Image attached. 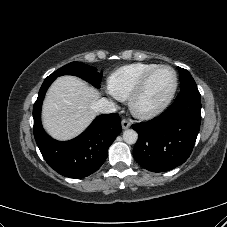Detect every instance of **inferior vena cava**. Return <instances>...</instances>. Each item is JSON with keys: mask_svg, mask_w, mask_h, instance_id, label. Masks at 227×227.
Instances as JSON below:
<instances>
[{"mask_svg": "<svg viewBox=\"0 0 227 227\" xmlns=\"http://www.w3.org/2000/svg\"><path fill=\"white\" fill-rule=\"evenodd\" d=\"M95 109L101 113H113L115 112V106L106 98H101L95 102Z\"/></svg>", "mask_w": 227, "mask_h": 227, "instance_id": "602c4592", "label": "inferior vena cava"}]
</instances>
